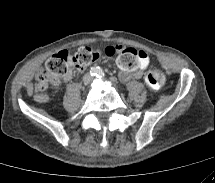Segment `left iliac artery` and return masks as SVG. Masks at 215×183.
I'll use <instances>...</instances> for the list:
<instances>
[{
    "mask_svg": "<svg viewBox=\"0 0 215 183\" xmlns=\"http://www.w3.org/2000/svg\"><path fill=\"white\" fill-rule=\"evenodd\" d=\"M99 78H103L104 76H105V74H104V72L101 70V69H99L98 70V75H97Z\"/></svg>",
    "mask_w": 215,
    "mask_h": 183,
    "instance_id": "left-iliac-artery-1",
    "label": "left iliac artery"
}]
</instances>
